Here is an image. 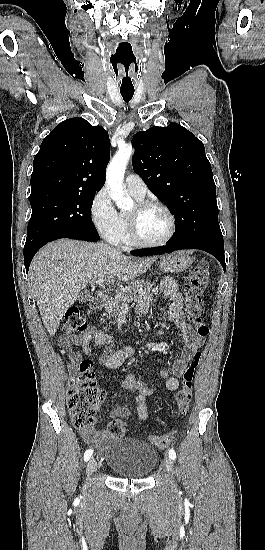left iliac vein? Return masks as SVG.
I'll return each instance as SVG.
<instances>
[{
    "label": "left iliac vein",
    "instance_id": "obj_1",
    "mask_svg": "<svg viewBox=\"0 0 265 550\" xmlns=\"http://www.w3.org/2000/svg\"><path fill=\"white\" fill-rule=\"evenodd\" d=\"M164 468L170 474L173 471V463L169 458H166L164 461Z\"/></svg>",
    "mask_w": 265,
    "mask_h": 550
}]
</instances>
